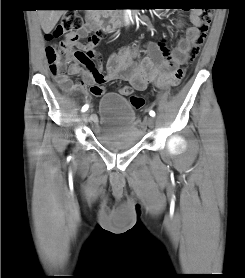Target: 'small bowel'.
Instances as JSON below:
<instances>
[{"label":"small bowel","mask_w":245,"mask_h":278,"mask_svg":"<svg viewBox=\"0 0 245 278\" xmlns=\"http://www.w3.org/2000/svg\"><path fill=\"white\" fill-rule=\"evenodd\" d=\"M199 13L192 12L190 20L192 27L186 31V36L178 40L177 46L170 50L165 38L159 42L147 43L148 56L135 62L133 53L128 48H123L112 54L103 73L100 62H93V48L105 37L106 32L85 25L78 32L67 35L62 42L82 49L87 53L84 62H72L64 78L69 84H63L61 79L55 78L59 87L68 93L84 89L90 97H99L105 93L103 84L112 81H128L136 91H144L149 85L155 84L163 88L172 85L179 76L187 72V57L192 46L198 41ZM178 27L182 22L177 23ZM93 31V33H91ZM84 38L85 43L79 39ZM71 76H80V81L71 80Z\"/></svg>","instance_id":"c3829d8e"}]
</instances>
